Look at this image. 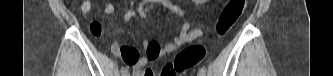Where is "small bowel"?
Returning a JSON list of instances; mask_svg holds the SVG:
<instances>
[{
  "instance_id": "1",
  "label": "small bowel",
  "mask_w": 333,
  "mask_h": 76,
  "mask_svg": "<svg viewBox=\"0 0 333 76\" xmlns=\"http://www.w3.org/2000/svg\"><path fill=\"white\" fill-rule=\"evenodd\" d=\"M163 3L175 14L180 16H185L184 10L171 4L169 1H163ZM144 2L139 5V13L142 17H146V13L143 10ZM103 13L105 15H112L115 11L113 3L110 1L102 2ZM81 11L87 15L92 9V2L90 0H85L80 5ZM135 16L134 11L129 10L124 15V21H128ZM90 31L92 39L102 38V26L98 21H92L90 23ZM203 35L201 29L195 28L191 29L188 20L184 21L181 26L178 35L173 37L171 42L165 44H159L157 41H144V55L139 58L140 48L136 44H124L121 46L117 41L112 44V52L116 55H121L123 60L129 64L134 72L135 76H145V70L142 71L148 63L153 62L159 58H163L172 52L179 49L181 46L191 43L197 38ZM155 72V71H154ZM152 76V75H151ZM155 76V75H154ZM156 76H165L164 72H157Z\"/></svg>"
}]
</instances>
